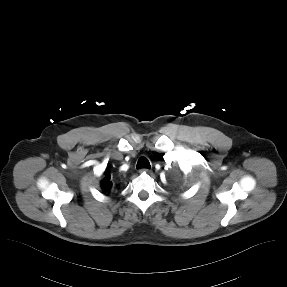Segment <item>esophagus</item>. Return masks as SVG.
Wrapping results in <instances>:
<instances>
[{"instance_id": "34e87169", "label": "esophagus", "mask_w": 287, "mask_h": 287, "mask_svg": "<svg viewBox=\"0 0 287 287\" xmlns=\"http://www.w3.org/2000/svg\"><path fill=\"white\" fill-rule=\"evenodd\" d=\"M140 172H146V173L150 174L151 170L148 169V168H143V169L140 170Z\"/></svg>"}]
</instances>
